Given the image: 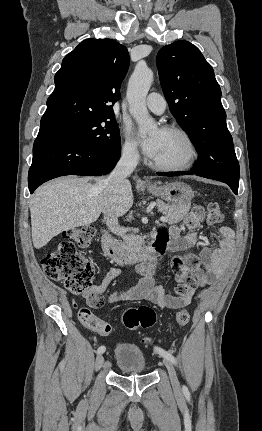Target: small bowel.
Masks as SVG:
<instances>
[{
	"instance_id": "1",
	"label": "small bowel",
	"mask_w": 262,
	"mask_h": 431,
	"mask_svg": "<svg viewBox=\"0 0 262 431\" xmlns=\"http://www.w3.org/2000/svg\"><path fill=\"white\" fill-rule=\"evenodd\" d=\"M203 217L204 212L200 208L193 209L187 214L182 224L191 230V233L185 236L180 234V226L177 224L159 226L155 230L156 237L161 239V247L159 249L166 248L167 246L171 251L176 253L171 260L176 282H183L186 278L192 276L198 281L200 287L208 286L217 282L228 267L233 248V230L227 226L218 228V233L222 239L218 248L210 249L203 247L198 256L180 254L195 247ZM162 262V257L158 255L146 263L140 264L138 271L143 278L139 285L129 290L120 289L114 291L109 296V302L120 303L123 301L145 299L162 309H178L188 305L194 295V291L185 297L173 296L166 293L164 287L155 281L156 269ZM119 274L120 269L118 267L110 268L101 284L93 285L85 292L84 297L88 307L96 308L103 304V295L107 287Z\"/></svg>"
}]
</instances>
